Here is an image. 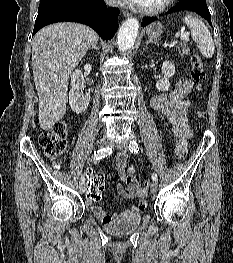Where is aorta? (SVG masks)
Here are the masks:
<instances>
[{
    "label": "aorta",
    "instance_id": "aorta-1",
    "mask_svg": "<svg viewBox=\"0 0 233 263\" xmlns=\"http://www.w3.org/2000/svg\"><path fill=\"white\" fill-rule=\"evenodd\" d=\"M139 32V21L128 18L120 27L117 36V45L120 51L129 50L135 43Z\"/></svg>",
    "mask_w": 233,
    "mask_h": 263
}]
</instances>
